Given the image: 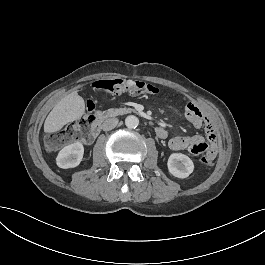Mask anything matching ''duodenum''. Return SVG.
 Here are the masks:
<instances>
[{
  "label": "duodenum",
  "instance_id": "410a0bca",
  "mask_svg": "<svg viewBox=\"0 0 265 265\" xmlns=\"http://www.w3.org/2000/svg\"><path fill=\"white\" fill-rule=\"evenodd\" d=\"M97 115H98L99 117H102V116L104 115V113H100V112H98ZM101 127H102V126H101V121H100V120H97V121L94 123V125H93L92 128L95 129L96 131H98V133L100 134V132H101ZM155 133H156V136L159 137L160 139H162L163 137L166 136V131L163 130L162 128H157L156 131H155Z\"/></svg>",
  "mask_w": 265,
  "mask_h": 265
}]
</instances>
